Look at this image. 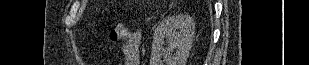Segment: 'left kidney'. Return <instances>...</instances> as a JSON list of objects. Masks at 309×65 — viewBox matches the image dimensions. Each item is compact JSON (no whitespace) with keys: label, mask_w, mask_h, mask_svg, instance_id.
I'll return each mask as SVG.
<instances>
[{"label":"left kidney","mask_w":309,"mask_h":65,"mask_svg":"<svg viewBox=\"0 0 309 65\" xmlns=\"http://www.w3.org/2000/svg\"><path fill=\"white\" fill-rule=\"evenodd\" d=\"M194 34L195 23L190 16L180 14L165 18L153 34L150 65H185ZM164 39L169 42L166 49L163 48Z\"/></svg>","instance_id":"left-kidney-1"}]
</instances>
